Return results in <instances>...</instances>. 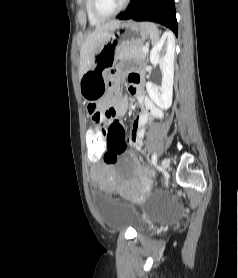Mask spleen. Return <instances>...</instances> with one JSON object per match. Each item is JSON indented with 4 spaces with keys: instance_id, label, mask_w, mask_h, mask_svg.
<instances>
[{
    "instance_id": "1",
    "label": "spleen",
    "mask_w": 238,
    "mask_h": 278,
    "mask_svg": "<svg viewBox=\"0 0 238 278\" xmlns=\"http://www.w3.org/2000/svg\"><path fill=\"white\" fill-rule=\"evenodd\" d=\"M144 25L149 29L152 43H157V41L159 40V31L156 25L153 23H144Z\"/></svg>"
}]
</instances>
